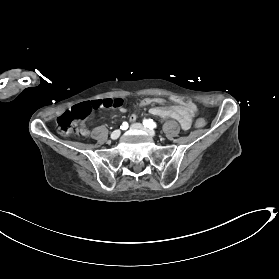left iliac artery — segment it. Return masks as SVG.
Here are the masks:
<instances>
[{"label": "left iliac artery", "mask_w": 279, "mask_h": 279, "mask_svg": "<svg viewBox=\"0 0 279 279\" xmlns=\"http://www.w3.org/2000/svg\"><path fill=\"white\" fill-rule=\"evenodd\" d=\"M143 124L150 129L156 128V123L152 119H144Z\"/></svg>", "instance_id": "44dca946"}]
</instances>
